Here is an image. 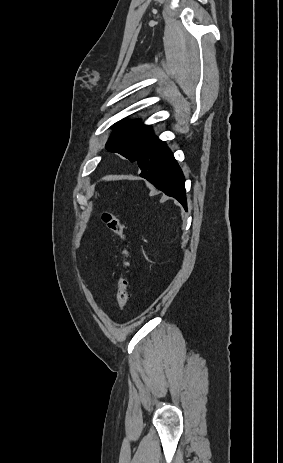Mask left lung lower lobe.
<instances>
[{
	"instance_id": "obj_1",
	"label": "left lung lower lobe",
	"mask_w": 283,
	"mask_h": 463,
	"mask_svg": "<svg viewBox=\"0 0 283 463\" xmlns=\"http://www.w3.org/2000/svg\"><path fill=\"white\" fill-rule=\"evenodd\" d=\"M137 164L141 169L140 176L150 181L156 188L166 195L177 199L187 208L184 176L172 152L157 137L138 158Z\"/></svg>"
}]
</instances>
